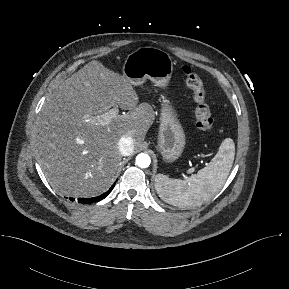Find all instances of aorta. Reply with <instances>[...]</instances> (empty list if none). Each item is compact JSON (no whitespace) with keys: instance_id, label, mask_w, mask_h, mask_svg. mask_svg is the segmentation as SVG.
Segmentation results:
<instances>
[{"instance_id":"762f6f07","label":"aorta","mask_w":289,"mask_h":289,"mask_svg":"<svg viewBox=\"0 0 289 289\" xmlns=\"http://www.w3.org/2000/svg\"><path fill=\"white\" fill-rule=\"evenodd\" d=\"M150 163H151V159H150V156L148 154L140 153L137 155L136 164L140 168H147V167H149Z\"/></svg>"}]
</instances>
